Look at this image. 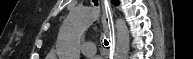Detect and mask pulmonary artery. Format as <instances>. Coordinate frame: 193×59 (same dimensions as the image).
I'll return each instance as SVG.
<instances>
[{
    "label": "pulmonary artery",
    "instance_id": "obj_1",
    "mask_svg": "<svg viewBox=\"0 0 193 59\" xmlns=\"http://www.w3.org/2000/svg\"><path fill=\"white\" fill-rule=\"evenodd\" d=\"M82 53L85 56H92L96 53V45L93 42H85L82 45Z\"/></svg>",
    "mask_w": 193,
    "mask_h": 59
}]
</instances>
